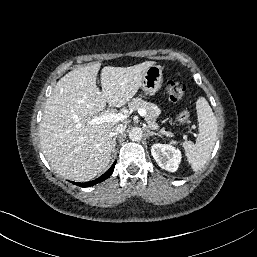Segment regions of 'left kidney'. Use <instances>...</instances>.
<instances>
[{"instance_id":"1","label":"left kidney","mask_w":257,"mask_h":257,"mask_svg":"<svg viewBox=\"0 0 257 257\" xmlns=\"http://www.w3.org/2000/svg\"><path fill=\"white\" fill-rule=\"evenodd\" d=\"M151 154L162 169L170 172H175L178 169L182 157L179 149L160 143L151 146Z\"/></svg>"}]
</instances>
